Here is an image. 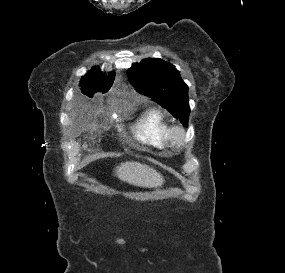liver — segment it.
I'll use <instances>...</instances> for the list:
<instances>
[{
    "label": "liver",
    "mask_w": 285,
    "mask_h": 273,
    "mask_svg": "<svg viewBox=\"0 0 285 273\" xmlns=\"http://www.w3.org/2000/svg\"><path fill=\"white\" fill-rule=\"evenodd\" d=\"M115 175L124 182L146 188L158 187L164 183L159 172L139 162L121 163L116 168Z\"/></svg>",
    "instance_id": "liver-1"
}]
</instances>
